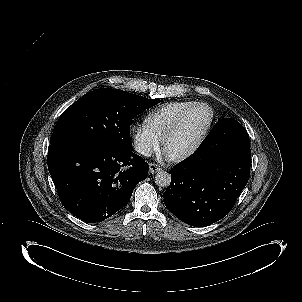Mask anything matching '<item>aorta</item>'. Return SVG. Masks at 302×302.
I'll return each instance as SVG.
<instances>
[{
    "instance_id": "aorta-1",
    "label": "aorta",
    "mask_w": 302,
    "mask_h": 302,
    "mask_svg": "<svg viewBox=\"0 0 302 302\" xmlns=\"http://www.w3.org/2000/svg\"><path fill=\"white\" fill-rule=\"evenodd\" d=\"M171 175L166 171H159L155 175V183L159 187H167L170 185Z\"/></svg>"
}]
</instances>
